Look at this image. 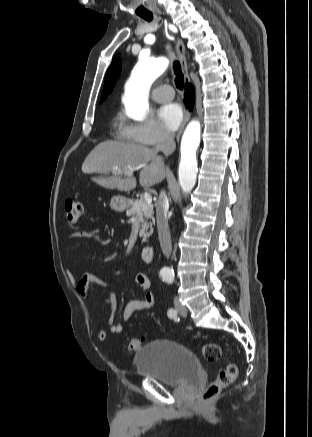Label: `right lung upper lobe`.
I'll use <instances>...</instances> for the list:
<instances>
[{"instance_id": "obj_1", "label": "right lung upper lobe", "mask_w": 312, "mask_h": 437, "mask_svg": "<svg viewBox=\"0 0 312 437\" xmlns=\"http://www.w3.org/2000/svg\"><path fill=\"white\" fill-rule=\"evenodd\" d=\"M121 71V58L120 55H116L113 58L111 66L107 73V78L105 80L104 89L102 92L101 102L107 98V95L112 91L113 86L116 83Z\"/></svg>"}]
</instances>
